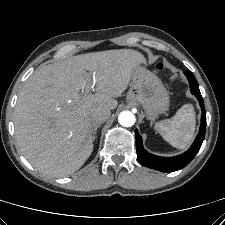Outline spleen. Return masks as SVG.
Here are the masks:
<instances>
[{"mask_svg":"<svg viewBox=\"0 0 225 225\" xmlns=\"http://www.w3.org/2000/svg\"><path fill=\"white\" fill-rule=\"evenodd\" d=\"M195 123L193 106L185 104L172 118L156 122L155 129L173 147L184 149L193 138Z\"/></svg>","mask_w":225,"mask_h":225,"instance_id":"spleen-1","label":"spleen"}]
</instances>
